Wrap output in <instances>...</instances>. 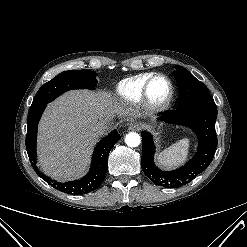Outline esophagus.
Listing matches in <instances>:
<instances>
[{
  "instance_id": "1",
  "label": "esophagus",
  "mask_w": 247,
  "mask_h": 247,
  "mask_svg": "<svg viewBox=\"0 0 247 247\" xmlns=\"http://www.w3.org/2000/svg\"><path fill=\"white\" fill-rule=\"evenodd\" d=\"M128 129L132 131H140L142 126L137 122H132L128 125Z\"/></svg>"
}]
</instances>
